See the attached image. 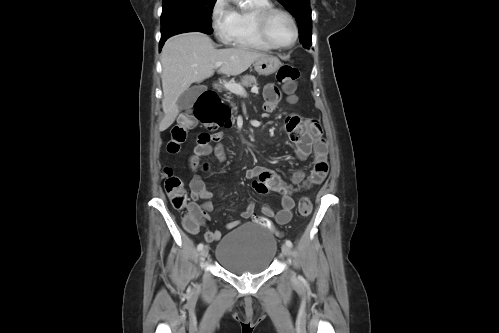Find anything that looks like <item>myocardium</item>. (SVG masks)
<instances>
[{
  "mask_svg": "<svg viewBox=\"0 0 499 333\" xmlns=\"http://www.w3.org/2000/svg\"><path fill=\"white\" fill-rule=\"evenodd\" d=\"M275 13H281V14L285 15L289 19V21L291 22V25L293 27V39L287 45L276 44L269 35L268 22H269L271 16ZM256 25H257V29L259 31L260 36L273 49H281V50L288 49V48H291L292 46H294L295 43L297 42V39L299 36V30H298L296 20H295L294 16L288 10H286L284 8L271 5V6H268L264 9L260 10L256 15Z\"/></svg>",
  "mask_w": 499,
  "mask_h": 333,
  "instance_id": "obj_1",
  "label": "myocardium"
}]
</instances>
